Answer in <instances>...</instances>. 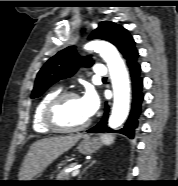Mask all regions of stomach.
Here are the masks:
<instances>
[{"label":"stomach","instance_id":"0dacf381","mask_svg":"<svg viewBox=\"0 0 178 186\" xmlns=\"http://www.w3.org/2000/svg\"><path fill=\"white\" fill-rule=\"evenodd\" d=\"M102 143H103L102 140L97 137H90L89 135H83V139L77 146V149L81 154L89 155L97 151L102 146ZM28 181H33V182H27L29 183L27 185L38 186V185H42V183L37 181H43V180H40L39 178H33Z\"/></svg>","mask_w":178,"mask_h":186}]
</instances>
